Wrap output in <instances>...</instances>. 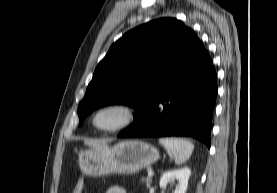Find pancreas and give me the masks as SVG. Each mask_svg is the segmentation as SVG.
<instances>
[{"label":"pancreas","instance_id":"cf45deb5","mask_svg":"<svg viewBox=\"0 0 277 193\" xmlns=\"http://www.w3.org/2000/svg\"><path fill=\"white\" fill-rule=\"evenodd\" d=\"M142 182H145L146 186L149 187L150 183H151V179L150 178H142Z\"/></svg>","mask_w":277,"mask_h":193}]
</instances>
